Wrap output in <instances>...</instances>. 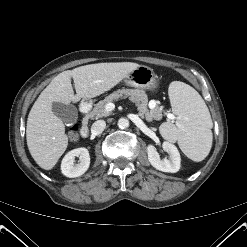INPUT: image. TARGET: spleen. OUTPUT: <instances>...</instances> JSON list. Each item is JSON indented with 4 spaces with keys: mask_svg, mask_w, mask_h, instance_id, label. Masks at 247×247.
<instances>
[{
    "mask_svg": "<svg viewBox=\"0 0 247 247\" xmlns=\"http://www.w3.org/2000/svg\"><path fill=\"white\" fill-rule=\"evenodd\" d=\"M173 112L178 115L175 124L160 126L162 136L177 141L182 152L191 160L200 162L209 154L213 122L205 101L190 85L173 81L168 89Z\"/></svg>",
    "mask_w": 247,
    "mask_h": 247,
    "instance_id": "3e777b00",
    "label": "spleen"
}]
</instances>
